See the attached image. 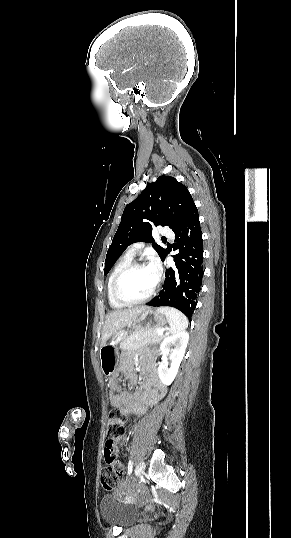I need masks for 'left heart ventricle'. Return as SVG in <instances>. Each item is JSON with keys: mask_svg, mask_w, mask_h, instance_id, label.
I'll use <instances>...</instances> for the list:
<instances>
[{"mask_svg": "<svg viewBox=\"0 0 291 538\" xmlns=\"http://www.w3.org/2000/svg\"><path fill=\"white\" fill-rule=\"evenodd\" d=\"M156 278L147 268L136 269L127 274L120 283V293L127 299L146 296L155 284Z\"/></svg>", "mask_w": 291, "mask_h": 538, "instance_id": "obj_1", "label": "left heart ventricle"}]
</instances>
